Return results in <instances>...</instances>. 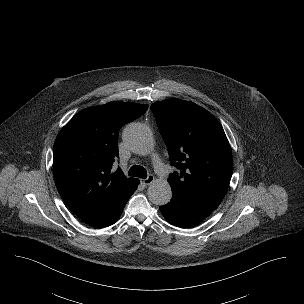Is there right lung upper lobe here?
I'll return each instance as SVG.
<instances>
[{
  "mask_svg": "<svg viewBox=\"0 0 304 304\" xmlns=\"http://www.w3.org/2000/svg\"><path fill=\"white\" fill-rule=\"evenodd\" d=\"M147 109L130 102L86 108L59 132L53 150L56 187L82 220L89 223L101 216L136 181L112 166L120 128Z\"/></svg>",
  "mask_w": 304,
  "mask_h": 304,
  "instance_id": "1",
  "label": "right lung upper lobe"
}]
</instances>
